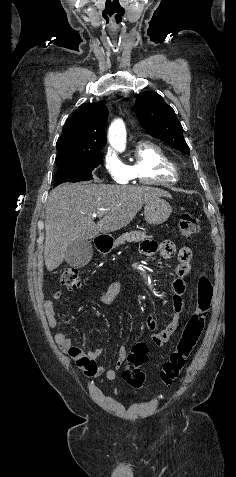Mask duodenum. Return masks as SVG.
<instances>
[{
	"mask_svg": "<svg viewBox=\"0 0 236 477\" xmlns=\"http://www.w3.org/2000/svg\"><path fill=\"white\" fill-rule=\"evenodd\" d=\"M112 245H113V242L111 239H98L96 241V247L99 250L109 249Z\"/></svg>",
	"mask_w": 236,
	"mask_h": 477,
	"instance_id": "1",
	"label": "duodenum"
}]
</instances>
